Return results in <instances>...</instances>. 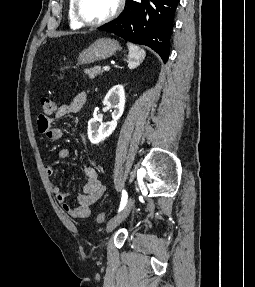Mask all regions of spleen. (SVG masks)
Masks as SVG:
<instances>
[{
    "instance_id": "3e777b00",
    "label": "spleen",
    "mask_w": 255,
    "mask_h": 287,
    "mask_svg": "<svg viewBox=\"0 0 255 287\" xmlns=\"http://www.w3.org/2000/svg\"><path fill=\"white\" fill-rule=\"evenodd\" d=\"M129 50L128 56V68H136L139 66L141 62H143L146 54L144 50H141L139 46H135V44H127Z\"/></svg>"
}]
</instances>
